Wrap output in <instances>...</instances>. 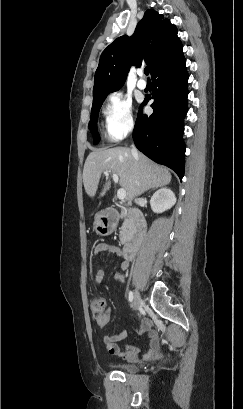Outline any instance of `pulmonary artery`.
I'll return each mask as SVG.
<instances>
[{"label":"pulmonary artery","instance_id":"obj_1","mask_svg":"<svg viewBox=\"0 0 243 409\" xmlns=\"http://www.w3.org/2000/svg\"><path fill=\"white\" fill-rule=\"evenodd\" d=\"M143 72H140V79L137 82V86L139 89L144 90L147 87L146 81L143 79Z\"/></svg>","mask_w":243,"mask_h":409}]
</instances>
